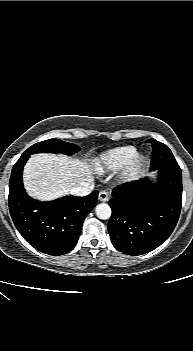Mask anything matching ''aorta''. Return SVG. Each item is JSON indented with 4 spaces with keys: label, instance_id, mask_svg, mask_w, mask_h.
<instances>
[{
    "label": "aorta",
    "instance_id": "762f6f07",
    "mask_svg": "<svg viewBox=\"0 0 193 351\" xmlns=\"http://www.w3.org/2000/svg\"><path fill=\"white\" fill-rule=\"evenodd\" d=\"M96 216L101 220H107L111 217V207L106 203H100L95 208Z\"/></svg>",
    "mask_w": 193,
    "mask_h": 351
}]
</instances>
